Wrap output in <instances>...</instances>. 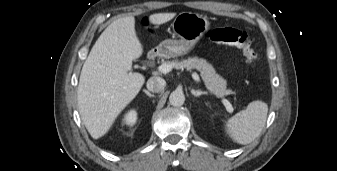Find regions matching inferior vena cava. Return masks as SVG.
I'll list each match as a JSON object with an SVG mask.
<instances>
[{
    "instance_id": "602c4592",
    "label": "inferior vena cava",
    "mask_w": 337,
    "mask_h": 171,
    "mask_svg": "<svg viewBox=\"0 0 337 171\" xmlns=\"http://www.w3.org/2000/svg\"><path fill=\"white\" fill-rule=\"evenodd\" d=\"M165 85L166 82L163 78L154 76L148 79L146 86L149 91L159 93L164 90Z\"/></svg>"
}]
</instances>
